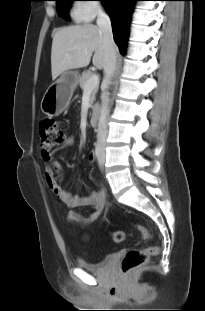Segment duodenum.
Wrapping results in <instances>:
<instances>
[{"mask_svg": "<svg viewBox=\"0 0 205 311\" xmlns=\"http://www.w3.org/2000/svg\"><path fill=\"white\" fill-rule=\"evenodd\" d=\"M98 115H99V106L94 105L89 113V121L92 125H96L98 122Z\"/></svg>", "mask_w": 205, "mask_h": 311, "instance_id": "duodenum-1", "label": "duodenum"}]
</instances>
